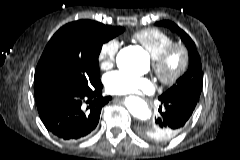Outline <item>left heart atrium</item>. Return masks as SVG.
<instances>
[{"instance_id": "left-heart-atrium-1", "label": "left heart atrium", "mask_w": 240, "mask_h": 160, "mask_svg": "<svg viewBox=\"0 0 240 160\" xmlns=\"http://www.w3.org/2000/svg\"><path fill=\"white\" fill-rule=\"evenodd\" d=\"M105 85L109 92L120 95L139 91L151 93L154 90V84L150 79L135 77L118 71L107 75Z\"/></svg>"}]
</instances>
